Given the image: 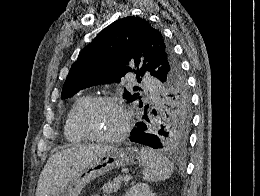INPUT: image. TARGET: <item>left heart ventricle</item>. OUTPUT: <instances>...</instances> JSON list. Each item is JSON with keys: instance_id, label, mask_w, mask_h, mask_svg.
Returning a JSON list of instances; mask_svg holds the SVG:
<instances>
[{"instance_id": "1", "label": "left heart ventricle", "mask_w": 260, "mask_h": 196, "mask_svg": "<svg viewBox=\"0 0 260 196\" xmlns=\"http://www.w3.org/2000/svg\"><path fill=\"white\" fill-rule=\"evenodd\" d=\"M121 109L114 104L101 103L89 111L84 118L85 127L93 134L107 135L116 133L123 125Z\"/></svg>"}]
</instances>
